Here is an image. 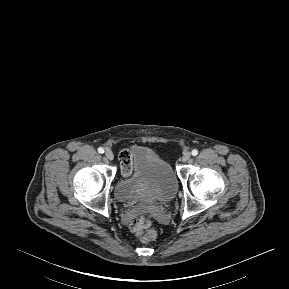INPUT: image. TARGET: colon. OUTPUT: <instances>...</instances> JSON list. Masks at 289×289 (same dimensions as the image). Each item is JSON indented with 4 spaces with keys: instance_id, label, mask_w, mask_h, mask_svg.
<instances>
[{
    "instance_id": "1",
    "label": "colon",
    "mask_w": 289,
    "mask_h": 289,
    "mask_svg": "<svg viewBox=\"0 0 289 289\" xmlns=\"http://www.w3.org/2000/svg\"><path fill=\"white\" fill-rule=\"evenodd\" d=\"M138 222L142 226L140 240L143 243H149L156 238V231L152 228V219L149 213H141L138 216Z\"/></svg>"
}]
</instances>
